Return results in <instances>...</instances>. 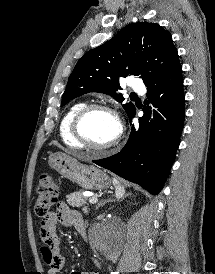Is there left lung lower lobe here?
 <instances>
[{
    "label": "left lung lower lobe",
    "instance_id": "1",
    "mask_svg": "<svg viewBox=\"0 0 215 274\" xmlns=\"http://www.w3.org/2000/svg\"><path fill=\"white\" fill-rule=\"evenodd\" d=\"M147 105L143 108L139 128H131L130 137L117 154L93 162L120 177L137 183L151 194L162 189L175 159L183 130L185 104L181 65L157 82L146 85ZM135 116V110L128 116Z\"/></svg>",
    "mask_w": 215,
    "mask_h": 274
}]
</instances>
